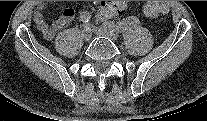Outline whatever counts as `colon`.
I'll return each instance as SVG.
<instances>
[{
    "instance_id": "1",
    "label": "colon",
    "mask_w": 207,
    "mask_h": 121,
    "mask_svg": "<svg viewBox=\"0 0 207 121\" xmlns=\"http://www.w3.org/2000/svg\"><path fill=\"white\" fill-rule=\"evenodd\" d=\"M144 14L150 18H155L168 12V6L164 2L149 1L143 7ZM113 14V8L110 6H101L98 10V18L105 20Z\"/></svg>"
}]
</instances>
